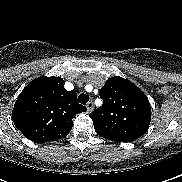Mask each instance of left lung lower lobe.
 <instances>
[{
  "label": "left lung lower lobe",
  "mask_w": 182,
  "mask_h": 182,
  "mask_svg": "<svg viewBox=\"0 0 182 182\" xmlns=\"http://www.w3.org/2000/svg\"><path fill=\"white\" fill-rule=\"evenodd\" d=\"M99 136L103 137V138H106L108 140H112V141H117V142H129V141H126V140H121V139H118L116 137H113V136H109V135H105V134H101V133H98Z\"/></svg>",
  "instance_id": "left-lung-lower-lobe-1"
}]
</instances>
